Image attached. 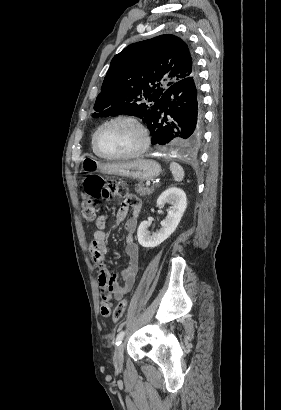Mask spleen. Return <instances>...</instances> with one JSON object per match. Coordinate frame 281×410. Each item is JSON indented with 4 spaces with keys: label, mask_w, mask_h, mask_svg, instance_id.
Here are the masks:
<instances>
[{
    "label": "spleen",
    "mask_w": 281,
    "mask_h": 410,
    "mask_svg": "<svg viewBox=\"0 0 281 410\" xmlns=\"http://www.w3.org/2000/svg\"><path fill=\"white\" fill-rule=\"evenodd\" d=\"M170 171L173 174L175 181L180 182L184 178V170L178 163L172 162L170 164Z\"/></svg>",
    "instance_id": "3e777b00"
}]
</instances>
